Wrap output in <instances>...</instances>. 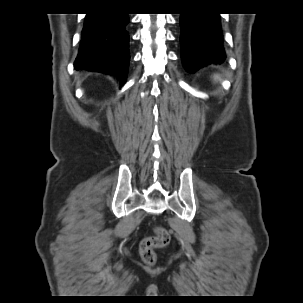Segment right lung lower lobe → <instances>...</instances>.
Here are the masks:
<instances>
[{
    "label": "right lung lower lobe",
    "mask_w": 303,
    "mask_h": 303,
    "mask_svg": "<svg viewBox=\"0 0 303 303\" xmlns=\"http://www.w3.org/2000/svg\"><path fill=\"white\" fill-rule=\"evenodd\" d=\"M129 21L124 13L87 14L74 68L113 75L125 83L130 60Z\"/></svg>",
    "instance_id": "right-lung-lower-lobe-1"
}]
</instances>
